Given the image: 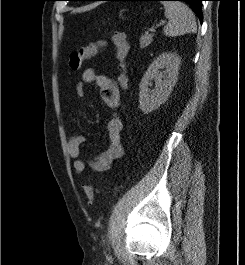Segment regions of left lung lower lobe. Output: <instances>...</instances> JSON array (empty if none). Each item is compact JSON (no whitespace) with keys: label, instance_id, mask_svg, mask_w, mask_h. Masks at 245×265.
I'll list each match as a JSON object with an SVG mask.
<instances>
[{"label":"left lung lower lobe","instance_id":"0a47b994","mask_svg":"<svg viewBox=\"0 0 245 265\" xmlns=\"http://www.w3.org/2000/svg\"><path fill=\"white\" fill-rule=\"evenodd\" d=\"M81 1H100V0H81ZM107 1H130V0H107ZM155 1H163V0H155ZM178 1H184L188 3L192 7L194 12L198 15L200 21L202 22L203 15L201 9V1L204 0H178Z\"/></svg>","mask_w":245,"mask_h":265}]
</instances>
